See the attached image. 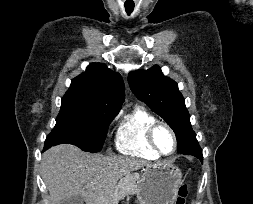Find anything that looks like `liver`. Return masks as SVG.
I'll return each mask as SVG.
<instances>
[{"label": "liver", "instance_id": "6515ba94", "mask_svg": "<svg viewBox=\"0 0 253 204\" xmlns=\"http://www.w3.org/2000/svg\"><path fill=\"white\" fill-rule=\"evenodd\" d=\"M148 164L135 157L90 154L61 144L46 151L41 167L50 204H60L77 195L86 204H114L118 180Z\"/></svg>", "mask_w": 253, "mask_h": 204}]
</instances>
